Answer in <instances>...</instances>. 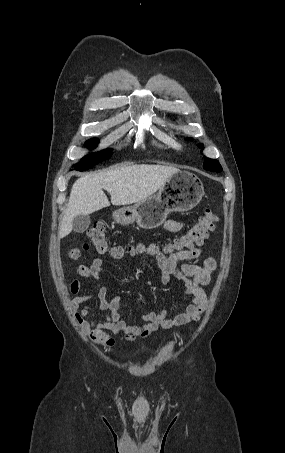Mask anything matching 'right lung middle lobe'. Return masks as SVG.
<instances>
[{"instance_id":"1","label":"right lung middle lobe","mask_w":285,"mask_h":453,"mask_svg":"<svg viewBox=\"0 0 285 453\" xmlns=\"http://www.w3.org/2000/svg\"><path fill=\"white\" fill-rule=\"evenodd\" d=\"M97 144H98V140L95 138L90 139L89 141H87L85 143V145L88 148H94ZM110 154H111V152L108 149H106V150L97 152L93 155L87 156L84 159H82V161L77 165V167L75 169L79 170V171L88 170V168H91V166L93 164L99 163V162L107 159Z\"/></svg>"}]
</instances>
